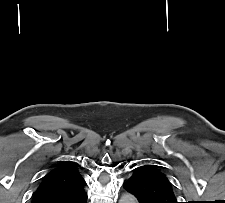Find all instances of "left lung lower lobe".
I'll list each match as a JSON object with an SVG mask.
<instances>
[{
	"label": "left lung lower lobe",
	"mask_w": 225,
	"mask_h": 203,
	"mask_svg": "<svg viewBox=\"0 0 225 203\" xmlns=\"http://www.w3.org/2000/svg\"><path fill=\"white\" fill-rule=\"evenodd\" d=\"M123 188L128 191L129 193L133 194L137 199L139 203H147L146 201H143L136 193L135 189L130 185L129 181H126L123 184Z\"/></svg>",
	"instance_id": "0a47b994"
}]
</instances>
